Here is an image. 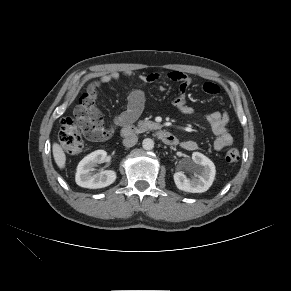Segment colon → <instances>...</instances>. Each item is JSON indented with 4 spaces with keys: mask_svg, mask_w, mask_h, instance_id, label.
<instances>
[{
    "mask_svg": "<svg viewBox=\"0 0 291 291\" xmlns=\"http://www.w3.org/2000/svg\"><path fill=\"white\" fill-rule=\"evenodd\" d=\"M96 92L88 91L80 98V105L73 116L63 119L59 131V141L67 153L77 154L84 148L82 135L92 132L94 126ZM113 133V127H109ZM239 151L235 148L229 149L225 154L228 163H235L239 160Z\"/></svg>",
    "mask_w": 291,
    "mask_h": 291,
    "instance_id": "obj_1",
    "label": "colon"
}]
</instances>
